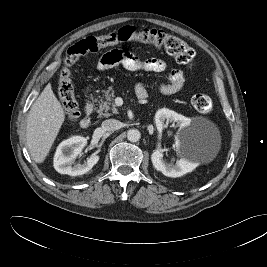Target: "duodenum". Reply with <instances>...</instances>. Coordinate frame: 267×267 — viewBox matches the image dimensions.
Here are the masks:
<instances>
[{
	"mask_svg": "<svg viewBox=\"0 0 267 267\" xmlns=\"http://www.w3.org/2000/svg\"><path fill=\"white\" fill-rule=\"evenodd\" d=\"M92 109H93L92 102L90 100H88L87 103H86V115L80 121V125H81L82 128H88L90 126V124H91L90 112L92 111Z\"/></svg>",
	"mask_w": 267,
	"mask_h": 267,
	"instance_id": "obj_1",
	"label": "duodenum"
}]
</instances>
